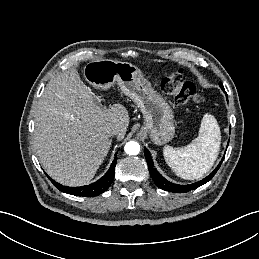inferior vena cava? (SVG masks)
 I'll use <instances>...</instances> for the list:
<instances>
[{
  "label": "inferior vena cava",
  "instance_id": "602c4592",
  "mask_svg": "<svg viewBox=\"0 0 259 259\" xmlns=\"http://www.w3.org/2000/svg\"><path fill=\"white\" fill-rule=\"evenodd\" d=\"M120 133V129L118 127H112L111 129H109L108 134L110 136L113 135H118Z\"/></svg>",
  "mask_w": 259,
  "mask_h": 259
}]
</instances>
